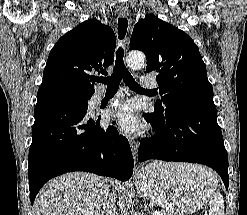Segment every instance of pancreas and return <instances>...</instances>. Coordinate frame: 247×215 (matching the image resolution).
<instances>
[{"label": "pancreas", "mask_w": 247, "mask_h": 215, "mask_svg": "<svg viewBox=\"0 0 247 215\" xmlns=\"http://www.w3.org/2000/svg\"><path fill=\"white\" fill-rule=\"evenodd\" d=\"M162 214H163V215H172L171 213L166 212V211H162Z\"/></svg>", "instance_id": "cf45deb5"}]
</instances>
